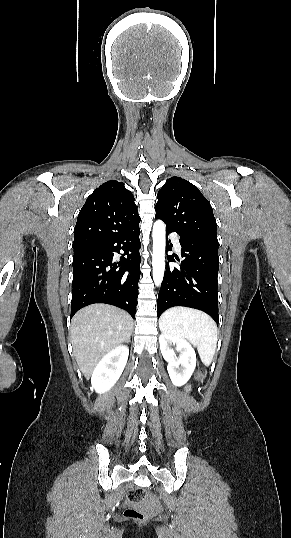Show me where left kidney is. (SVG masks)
<instances>
[{
  "instance_id": "1",
  "label": "left kidney",
  "mask_w": 291,
  "mask_h": 538,
  "mask_svg": "<svg viewBox=\"0 0 291 538\" xmlns=\"http://www.w3.org/2000/svg\"><path fill=\"white\" fill-rule=\"evenodd\" d=\"M160 350L163 358L168 362L167 370L172 383L182 386L187 383L196 367V353L191 344L180 337L162 332L159 336ZM175 350L179 352L176 356Z\"/></svg>"
}]
</instances>
